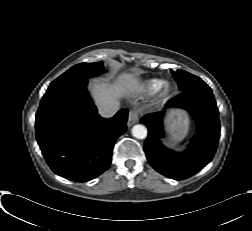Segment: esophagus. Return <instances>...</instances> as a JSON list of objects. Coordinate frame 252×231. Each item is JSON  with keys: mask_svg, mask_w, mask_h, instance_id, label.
Returning <instances> with one entry per match:
<instances>
[{"mask_svg": "<svg viewBox=\"0 0 252 231\" xmlns=\"http://www.w3.org/2000/svg\"><path fill=\"white\" fill-rule=\"evenodd\" d=\"M138 122V112L136 110H132L129 113L127 126L131 127L133 124Z\"/></svg>", "mask_w": 252, "mask_h": 231, "instance_id": "34e87169", "label": "esophagus"}]
</instances>
